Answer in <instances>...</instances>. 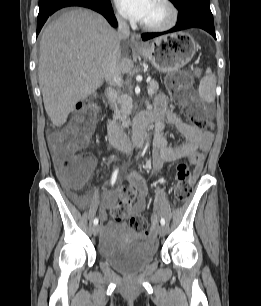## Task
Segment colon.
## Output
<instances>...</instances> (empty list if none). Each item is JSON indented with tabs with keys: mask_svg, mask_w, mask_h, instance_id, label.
Segmentation results:
<instances>
[{
	"mask_svg": "<svg viewBox=\"0 0 261 306\" xmlns=\"http://www.w3.org/2000/svg\"><path fill=\"white\" fill-rule=\"evenodd\" d=\"M167 85L173 102L184 106L188 118L194 124L205 122L204 114L193 104L194 90L191 79L185 74L174 73L168 76ZM99 109L95 104L85 103L78 110L71 123L54 138V145L61 169L59 176L69 187H77L85 183L91 171L90 158L78 154L87 147L94 136ZM192 192V174L189 166L182 162L176 168V184L174 199L184 202ZM136 197L135 190L130 185L121 189L119 202L111 209V217L120 221L130 215L129 226L138 234L149 235L150 226L141 215H132V204Z\"/></svg>",
	"mask_w": 261,
	"mask_h": 306,
	"instance_id": "5ec220e1",
	"label": "colon"
}]
</instances>
